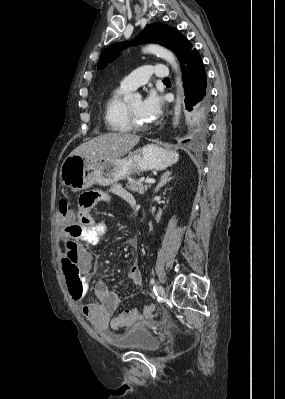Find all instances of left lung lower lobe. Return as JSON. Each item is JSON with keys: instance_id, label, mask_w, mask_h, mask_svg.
Instances as JSON below:
<instances>
[{"instance_id": "left-lung-lower-lobe-1", "label": "left lung lower lobe", "mask_w": 285, "mask_h": 399, "mask_svg": "<svg viewBox=\"0 0 285 399\" xmlns=\"http://www.w3.org/2000/svg\"><path fill=\"white\" fill-rule=\"evenodd\" d=\"M184 81L186 109L191 112L194 130L201 133L208 115L209 93L206 72L200 54L196 49L185 53L181 61ZM189 140H184L183 143Z\"/></svg>"}]
</instances>
